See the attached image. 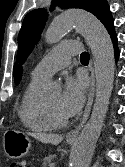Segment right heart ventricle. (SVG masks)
<instances>
[{
  "label": "right heart ventricle",
  "mask_w": 125,
  "mask_h": 167,
  "mask_svg": "<svg viewBox=\"0 0 125 167\" xmlns=\"http://www.w3.org/2000/svg\"><path fill=\"white\" fill-rule=\"evenodd\" d=\"M45 82L31 78L17 111L23 126L35 133H47L54 129L44 110L42 90Z\"/></svg>",
  "instance_id": "e07e8e85"
}]
</instances>
